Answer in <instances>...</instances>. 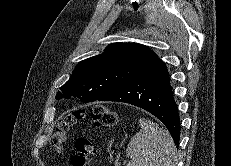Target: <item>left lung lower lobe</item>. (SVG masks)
I'll use <instances>...</instances> for the list:
<instances>
[{
  "instance_id": "left-lung-lower-lobe-1",
  "label": "left lung lower lobe",
  "mask_w": 231,
  "mask_h": 166,
  "mask_svg": "<svg viewBox=\"0 0 231 166\" xmlns=\"http://www.w3.org/2000/svg\"><path fill=\"white\" fill-rule=\"evenodd\" d=\"M97 100L129 103L150 112L167 127L178 146L180 140L178 108L170 85L169 73L160 58Z\"/></svg>"
}]
</instances>
